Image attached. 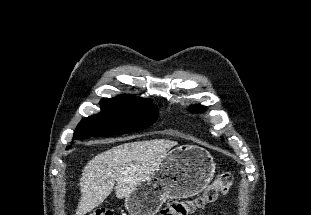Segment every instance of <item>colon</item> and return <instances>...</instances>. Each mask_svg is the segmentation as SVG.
Returning <instances> with one entry per match:
<instances>
[{
  "label": "colon",
  "mask_w": 311,
  "mask_h": 215,
  "mask_svg": "<svg viewBox=\"0 0 311 215\" xmlns=\"http://www.w3.org/2000/svg\"><path fill=\"white\" fill-rule=\"evenodd\" d=\"M233 177L230 173H222L206 190L193 199L173 200L163 208L159 215H191L205 205L214 202L220 195L226 194L232 185ZM90 215H113L109 209L100 208Z\"/></svg>",
  "instance_id": "obj_1"
}]
</instances>
